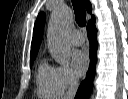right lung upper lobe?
Returning <instances> with one entry per match:
<instances>
[{
	"mask_svg": "<svg viewBox=\"0 0 128 99\" xmlns=\"http://www.w3.org/2000/svg\"><path fill=\"white\" fill-rule=\"evenodd\" d=\"M85 7L89 13H91V3L89 0H84ZM93 17V16H92ZM46 15L45 13L41 12L37 16L36 22L34 24V32H33V39L31 43V56H36L40 43L42 41L43 37V30H44V24H45Z\"/></svg>",
	"mask_w": 128,
	"mask_h": 99,
	"instance_id": "1",
	"label": "right lung upper lobe"
}]
</instances>
